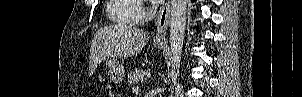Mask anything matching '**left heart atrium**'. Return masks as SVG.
I'll list each match as a JSON object with an SVG mask.
<instances>
[{"instance_id": "39dd6f15", "label": "left heart atrium", "mask_w": 302, "mask_h": 97, "mask_svg": "<svg viewBox=\"0 0 302 97\" xmlns=\"http://www.w3.org/2000/svg\"><path fill=\"white\" fill-rule=\"evenodd\" d=\"M151 2H156L155 0H151Z\"/></svg>"}]
</instances>
